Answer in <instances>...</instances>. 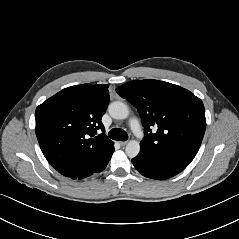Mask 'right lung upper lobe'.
<instances>
[{"label":"right lung upper lobe","mask_w":239,"mask_h":239,"mask_svg":"<svg viewBox=\"0 0 239 239\" xmlns=\"http://www.w3.org/2000/svg\"><path fill=\"white\" fill-rule=\"evenodd\" d=\"M108 85L82 84L65 88L35 111L36 136L48 162L71 177L98 166L114 143L101 122L108 102Z\"/></svg>","instance_id":"obj_1"}]
</instances>
